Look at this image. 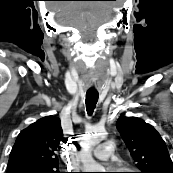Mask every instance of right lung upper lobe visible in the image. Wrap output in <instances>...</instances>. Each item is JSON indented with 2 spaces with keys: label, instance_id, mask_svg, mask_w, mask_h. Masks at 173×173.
I'll return each mask as SVG.
<instances>
[{
  "label": "right lung upper lobe",
  "instance_id": "right-lung-upper-lobe-1",
  "mask_svg": "<svg viewBox=\"0 0 173 173\" xmlns=\"http://www.w3.org/2000/svg\"><path fill=\"white\" fill-rule=\"evenodd\" d=\"M64 139L59 118L46 116L37 120L18 135L7 173L58 169L57 153Z\"/></svg>",
  "mask_w": 173,
  "mask_h": 173
}]
</instances>
